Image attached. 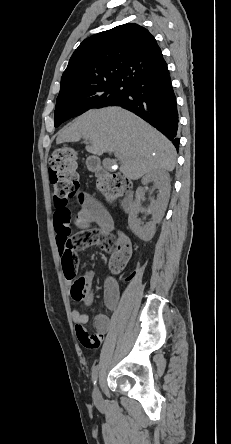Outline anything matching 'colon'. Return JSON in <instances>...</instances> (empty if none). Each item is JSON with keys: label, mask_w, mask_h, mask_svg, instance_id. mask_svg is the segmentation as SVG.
Instances as JSON below:
<instances>
[{"label": "colon", "mask_w": 231, "mask_h": 444, "mask_svg": "<svg viewBox=\"0 0 231 444\" xmlns=\"http://www.w3.org/2000/svg\"><path fill=\"white\" fill-rule=\"evenodd\" d=\"M49 178L54 189L55 199L66 200L73 197L79 190V183L76 173V157L70 148H62L56 151L50 158ZM130 187V182L122 175H113L105 178L100 183L101 190L109 195L115 196L126 191ZM128 260L127 254L116 251L112 254L110 268L113 272L122 270ZM63 264L67 268L76 269L77 255L67 252L63 257ZM89 278L81 276L74 280L71 287L72 297L82 299L88 292Z\"/></svg>", "instance_id": "obj_1"}]
</instances>
